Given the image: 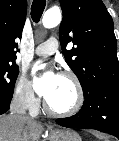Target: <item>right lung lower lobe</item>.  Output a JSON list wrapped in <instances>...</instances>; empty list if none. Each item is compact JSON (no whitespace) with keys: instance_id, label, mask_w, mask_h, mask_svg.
<instances>
[{"instance_id":"1","label":"right lung lower lobe","mask_w":119,"mask_h":141,"mask_svg":"<svg viewBox=\"0 0 119 141\" xmlns=\"http://www.w3.org/2000/svg\"><path fill=\"white\" fill-rule=\"evenodd\" d=\"M11 100L12 98L0 96V115L8 111Z\"/></svg>"}]
</instances>
